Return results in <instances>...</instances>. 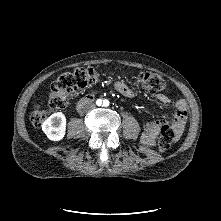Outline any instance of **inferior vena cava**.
Returning a JSON list of instances; mask_svg holds the SVG:
<instances>
[{
    "label": "inferior vena cava",
    "instance_id": "inferior-vena-cava-1",
    "mask_svg": "<svg viewBox=\"0 0 221 221\" xmlns=\"http://www.w3.org/2000/svg\"><path fill=\"white\" fill-rule=\"evenodd\" d=\"M95 108H96V105H95V104L89 103V104H87L86 107H85V112H89V111H91V110H94Z\"/></svg>",
    "mask_w": 221,
    "mask_h": 221
}]
</instances>
